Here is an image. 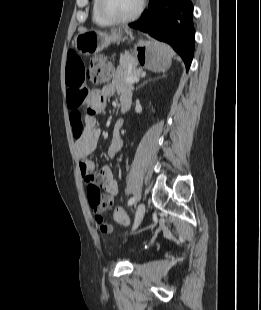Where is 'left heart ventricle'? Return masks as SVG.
Masks as SVG:
<instances>
[{
  "instance_id": "b2bd125f",
  "label": "left heart ventricle",
  "mask_w": 261,
  "mask_h": 310,
  "mask_svg": "<svg viewBox=\"0 0 261 310\" xmlns=\"http://www.w3.org/2000/svg\"><path fill=\"white\" fill-rule=\"evenodd\" d=\"M140 0H104V8L114 17L124 18L132 15Z\"/></svg>"
}]
</instances>
